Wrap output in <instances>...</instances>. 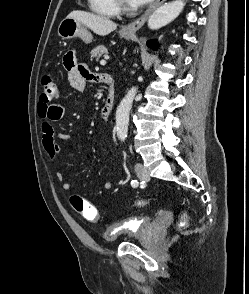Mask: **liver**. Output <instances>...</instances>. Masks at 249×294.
<instances>
[{"label":"liver","instance_id":"1","mask_svg":"<svg viewBox=\"0 0 249 294\" xmlns=\"http://www.w3.org/2000/svg\"><path fill=\"white\" fill-rule=\"evenodd\" d=\"M67 17L79 21L82 25L92 30L95 34L105 36L117 28V24L104 16H99L85 11H72Z\"/></svg>","mask_w":249,"mask_h":294}]
</instances>
